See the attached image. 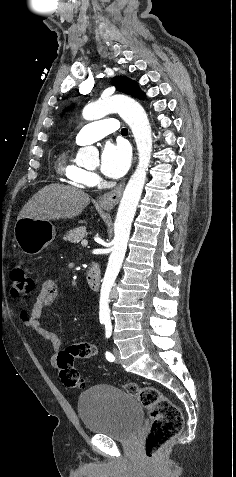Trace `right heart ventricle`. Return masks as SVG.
Masks as SVG:
<instances>
[{"label":"right heart ventricle","mask_w":236,"mask_h":477,"mask_svg":"<svg viewBox=\"0 0 236 477\" xmlns=\"http://www.w3.org/2000/svg\"><path fill=\"white\" fill-rule=\"evenodd\" d=\"M58 172L75 186H83L90 183V173L74 163L67 154L60 157Z\"/></svg>","instance_id":"right-heart-ventricle-1"}]
</instances>
